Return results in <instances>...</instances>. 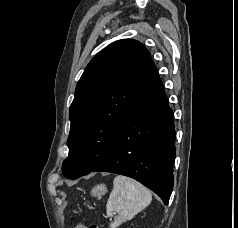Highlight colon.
<instances>
[{"mask_svg":"<svg viewBox=\"0 0 238 228\" xmlns=\"http://www.w3.org/2000/svg\"><path fill=\"white\" fill-rule=\"evenodd\" d=\"M77 228H100L97 225H85V224H79Z\"/></svg>","mask_w":238,"mask_h":228,"instance_id":"5ec220e1","label":"colon"}]
</instances>
